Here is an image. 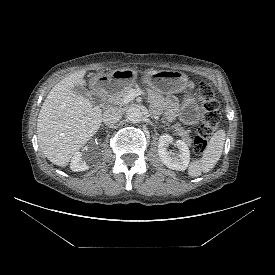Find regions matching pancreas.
I'll list each match as a JSON object with an SVG mask.
<instances>
[{"mask_svg": "<svg viewBox=\"0 0 275 275\" xmlns=\"http://www.w3.org/2000/svg\"><path fill=\"white\" fill-rule=\"evenodd\" d=\"M132 90L131 86L125 87L120 91L109 96V102L115 105H124L126 102L124 101L128 93ZM175 134L179 135L188 145L192 144V139L189 136L188 132L180 127V124H175L172 126Z\"/></svg>", "mask_w": 275, "mask_h": 275, "instance_id": "obj_1", "label": "pancreas"}]
</instances>
